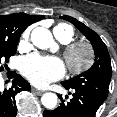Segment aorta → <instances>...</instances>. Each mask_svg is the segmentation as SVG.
<instances>
[{
  "instance_id": "762f6f07",
  "label": "aorta",
  "mask_w": 117,
  "mask_h": 117,
  "mask_svg": "<svg viewBox=\"0 0 117 117\" xmlns=\"http://www.w3.org/2000/svg\"><path fill=\"white\" fill-rule=\"evenodd\" d=\"M31 41L40 49H51L55 42L51 32L44 27H36L31 33ZM57 96L54 93H45L41 97V102L47 109H53L57 105Z\"/></svg>"
}]
</instances>
